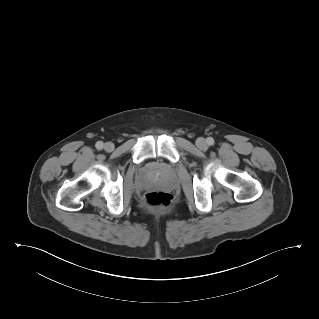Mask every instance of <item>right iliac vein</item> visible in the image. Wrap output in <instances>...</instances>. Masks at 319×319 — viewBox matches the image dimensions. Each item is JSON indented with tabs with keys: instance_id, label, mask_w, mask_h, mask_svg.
Masks as SVG:
<instances>
[{
	"instance_id": "63e3f726",
	"label": "right iliac vein",
	"mask_w": 319,
	"mask_h": 319,
	"mask_svg": "<svg viewBox=\"0 0 319 319\" xmlns=\"http://www.w3.org/2000/svg\"><path fill=\"white\" fill-rule=\"evenodd\" d=\"M104 149L107 151V152H111L113 151L114 149V144L112 142H106L104 144Z\"/></svg>"
}]
</instances>
